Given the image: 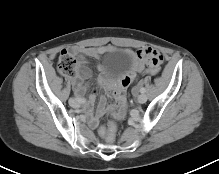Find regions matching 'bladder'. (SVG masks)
<instances>
[{"label":"bladder","mask_w":219,"mask_h":174,"mask_svg":"<svg viewBox=\"0 0 219 174\" xmlns=\"http://www.w3.org/2000/svg\"><path fill=\"white\" fill-rule=\"evenodd\" d=\"M131 57L123 50H117L109 53L105 64L102 66L105 70L107 80H112L118 77L131 63Z\"/></svg>","instance_id":"obj_1"}]
</instances>
